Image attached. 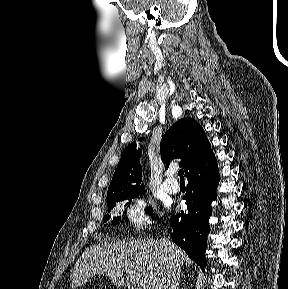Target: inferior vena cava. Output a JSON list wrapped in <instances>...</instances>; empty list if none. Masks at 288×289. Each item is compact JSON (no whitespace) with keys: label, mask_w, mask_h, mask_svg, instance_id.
<instances>
[{"label":"inferior vena cava","mask_w":288,"mask_h":289,"mask_svg":"<svg viewBox=\"0 0 288 289\" xmlns=\"http://www.w3.org/2000/svg\"><path fill=\"white\" fill-rule=\"evenodd\" d=\"M162 245L164 246V251L166 253L164 273L158 289H178L179 279H180V266L175 260L173 253H171V248L166 240H162Z\"/></svg>","instance_id":"inferior-vena-cava-1"}]
</instances>
